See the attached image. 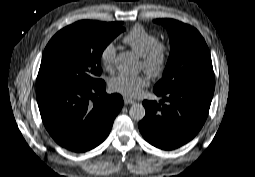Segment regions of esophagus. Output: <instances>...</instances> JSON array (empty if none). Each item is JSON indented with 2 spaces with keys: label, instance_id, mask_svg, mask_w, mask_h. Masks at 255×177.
<instances>
[{
  "label": "esophagus",
  "instance_id": "1",
  "mask_svg": "<svg viewBox=\"0 0 255 177\" xmlns=\"http://www.w3.org/2000/svg\"><path fill=\"white\" fill-rule=\"evenodd\" d=\"M134 103H135L134 100H131V99H128V98H124V104H125V105L134 104Z\"/></svg>",
  "mask_w": 255,
  "mask_h": 177
}]
</instances>
